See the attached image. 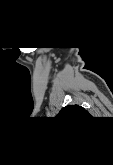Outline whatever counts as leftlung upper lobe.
<instances>
[{
  "label": "left lung upper lobe",
  "instance_id": "obj_1",
  "mask_svg": "<svg viewBox=\"0 0 113 165\" xmlns=\"http://www.w3.org/2000/svg\"><path fill=\"white\" fill-rule=\"evenodd\" d=\"M58 115L79 117V116H89V113L81 106L71 105V106H65Z\"/></svg>",
  "mask_w": 113,
  "mask_h": 165
}]
</instances>
